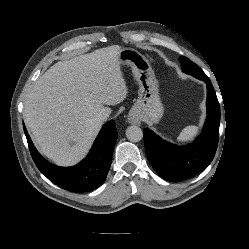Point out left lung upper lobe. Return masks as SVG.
Returning <instances> with one entry per match:
<instances>
[{
  "mask_svg": "<svg viewBox=\"0 0 249 249\" xmlns=\"http://www.w3.org/2000/svg\"><path fill=\"white\" fill-rule=\"evenodd\" d=\"M179 60H180L183 72L187 74H194V73H199L203 71L194 62L190 61L188 58L184 56H181Z\"/></svg>",
  "mask_w": 249,
  "mask_h": 249,
  "instance_id": "1",
  "label": "left lung upper lobe"
}]
</instances>
